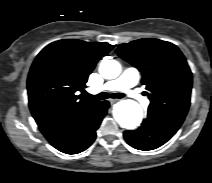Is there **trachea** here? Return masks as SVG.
<instances>
[{"label": "trachea", "mask_w": 212, "mask_h": 183, "mask_svg": "<svg viewBox=\"0 0 212 183\" xmlns=\"http://www.w3.org/2000/svg\"><path fill=\"white\" fill-rule=\"evenodd\" d=\"M86 97L88 98H91V99H95V100H104V99H107V98H123L125 97V94L123 93H112V94H108L106 92H102V93H99L97 95H91V94H88L86 93L85 94Z\"/></svg>", "instance_id": "1"}]
</instances>
